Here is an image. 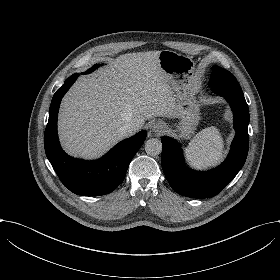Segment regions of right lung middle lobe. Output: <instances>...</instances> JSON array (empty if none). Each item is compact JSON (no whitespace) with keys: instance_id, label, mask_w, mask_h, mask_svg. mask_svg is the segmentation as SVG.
I'll return each instance as SVG.
<instances>
[{"instance_id":"right-lung-middle-lobe-1","label":"right lung middle lobe","mask_w":280,"mask_h":280,"mask_svg":"<svg viewBox=\"0 0 280 280\" xmlns=\"http://www.w3.org/2000/svg\"><path fill=\"white\" fill-rule=\"evenodd\" d=\"M100 65L99 64H96L94 65L92 68H90L89 70H87L86 72H84V74H87V73H90L92 71H94L96 68H98Z\"/></svg>"}]
</instances>
